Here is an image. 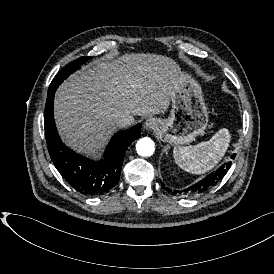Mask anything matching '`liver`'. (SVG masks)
<instances>
[{"label": "liver", "mask_w": 274, "mask_h": 274, "mask_svg": "<svg viewBox=\"0 0 274 274\" xmlns=\"http://www.w3.org/2000/svg\"><path fill=\"white\" fill-rule=\"evenodd\" d=\"M181 76L176 64L158 55L127 54L93 62L58 90L55 116L74 149L97 154L117 129L122 114L165 113Z\"/></svg>", "instance_id": "6515ba94"}]
</instances>
